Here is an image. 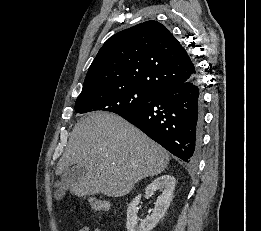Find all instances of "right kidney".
Segmentation results:
<instances>
[{"label":"right kidney","instance_id":"1","mask_svg":"<svg viewBox=\"0 0 261 231\" xmlns=\"http://www.w3.org/2000/svg\"><path fill=\"white\" fill-rule=\"evenodd\" d=\"M175 183L173 176L162 175L145 188L147 196H151L156 189H159L162 195L157 198L152 214L144 220L137 218L141 195L136 196L127 208V231H151L167 212L173 198Z\"/></svg>","mask_w":261,"mask_h":231}]
</instances>
